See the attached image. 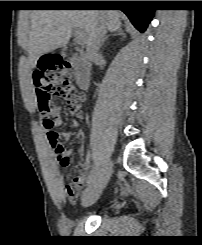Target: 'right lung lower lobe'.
I'll return each mask as SVG.
<instances>
[{"label": "right lung lower lobe", "mask_w": 202, "mask_h": 245, "mask_svg": "<svg viewBox=\"0 0 202 245\" xmlns=\"http://www.w3.org/2000/svg\"><path fill=\"white\" fill-rule=\"evenodd\" d=\"M81 7H120L132 24L144 32L152 20L154 9L147 1H80Z\"/></svg>", "instance_id": "98d812e1"}]
</instances>
